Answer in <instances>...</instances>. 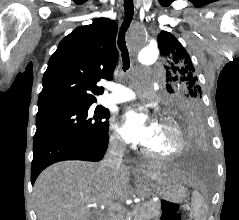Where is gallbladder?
Segmentation results:
<instances>
[{"instance_id":"1","label":"gallbladder","mask_w":239,"mask_h":220,"mask_svg":"<svg viewBox=\"0 0 239 220\" xmlns=\"http://www.w3.org/2000/svg\"><path fill=\"white\" fill-rule=\"evenodd\" d=\"M89 220H97V219H96V216H95V215L91 214Z\"/></svg>"}]
</instances>
